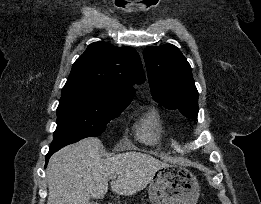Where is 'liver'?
Instances as JSON below:
<instances>
[{"mask_svg": "<svg viewBox=\"0 0 261 204\" xmlns=\"http://www.w3.org/2000/svg\"><path fill=\"white\" fill-rule=\"evenodd\" d=\"M98 138H86L68 145L50 159L47 204H89L91 197L102 199L108 191L133 195L144 189L154 173L168 164L136 151L103 157Z\"/></svg>", "mask_w": 261, "mask_h": 204, "instance_id": "obj_1", "label": "liver"}]
</instances>
